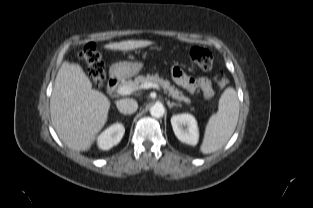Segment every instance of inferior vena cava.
I'll return each mask as SVG.
<instances>
[{
    "instance_id": "602c4592",
    "label": "inferior vena cava",
    "mask_w": 313,
    "mask_h": 208,
    "mask_svg": "<svg viewBox=\"0 0 313 208\" xmlns=\"http://www.w3.org/2000/svg\"><path fill=\"white\" fill-rule=\"evenodd\" d=\"M118 110L123 114H132L138 109V104L133 99H121L116 102Z\"/></svg>"
}]
</instances>
